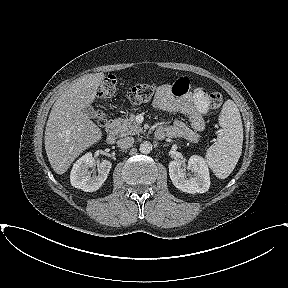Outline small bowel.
I'll return each instance as SVG.
<instances>
[{
  "instance_id": "small-bowel-1",
  "label": "small bowel",
  "mask_w": 288,
  "mask_h": 288,
  "mask_svg": "<svg viewBox=\"0 0 288 288\" xmlns=\"http://www.w3.org/2000/svg\"><path fill=\"white\" fill-rule=\"evenodd\" d=\"M190 86L187 77H180L173 84L160 85L152 105L157 110L180 112L189 118L191 127L176 120L173 125L159 128L166 136L197 142L199 133L205 129L204 118L209 112V97L203 88L196 87L191 91Z\"/></svg>"
}]
</instances>
